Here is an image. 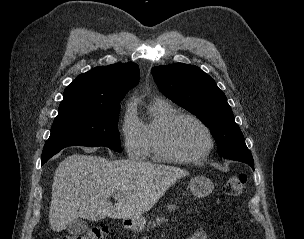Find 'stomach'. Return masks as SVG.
<instances>
[{
  "instance_id": "obj_1",
  "label": "stomach",
  "mask_w": 304,
  "mask_h": 239,
  "mask_svg": "<svg viewBox=\"0 0 304 239\" xmlns=\"http://www.w3.org/2000/svg\"><path fill=\"white\" fill-rule=\"evenodd\" d=\"M189 188L192 192V194L195 197H205L211 194V192L214 189L213 182L204 176H195L191 178L189 182ZM167 208L169 211L173 210L176 208L175 205L173 204H168ZM130 220V225L129 227L134 231V232H142L146 226V218L143 216H140L138 218H133L129 219Z\"/></svg>"
}]
</instances>
